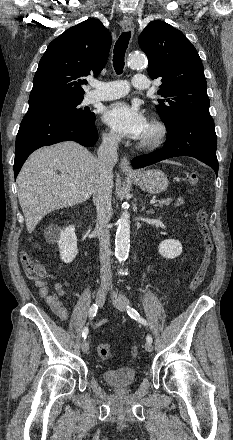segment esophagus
Masks as SVG:
<instances>
[{
  "label": "esophagus",
  "mask_w": 233,
  "mask_h": 440,
  "mask_svg": "<svg viewBox=\"0 0 233 440\" xmlns=\"http://www.w3.org/2000/svg\"><path fill=\"white\" fill-rule=\"evenodd\" d=\"M121 27L126 32H132L134 30V24L132 17L124 16L121 22ZM120 168L125 174H134L133 169L131 168L130 162L126 157H123L120 162Z\"/></svg>",
  "instance_id": "1"
}]
</instances>
